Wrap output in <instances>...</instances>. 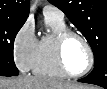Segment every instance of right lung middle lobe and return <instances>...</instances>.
<instances>
[{
	"label": "right lung middle lobe",
	"mask_w": 107,
	"mask_h": 89,
	"mask_svg": "<svg viewBox=\"0 0 107 89\" xmlns=\"http://www.w3.org/2000/svg\"><path fill=\"white\" fill-rule=\"evenodd\" d=\"M24 21L0 18V75H18L13 59L14 39Z\"/></svg>",
	"instance_id": "dd1d6c3e"
}]
</instances>
